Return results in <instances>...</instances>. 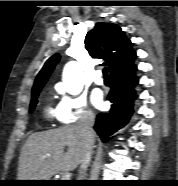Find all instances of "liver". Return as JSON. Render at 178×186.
I'll list each match as a JSON object with an SVG mask.
<instances>
[{
    "label": "liver",
    "mask_w": 178,
    "mask_h": 186,
    "mask_svg": "<svg viewBox=\"0 0 178 186\" xmlns=\"http://www.w3.org/2000/svg\"><path fill=\"white\" fill-rule=\"evenodd\" d=\"M85 152L86 140L78 124L34 133L21 149L18 180H49L60 171H72ZM46 154L50 156L42 159Z\"/></svg>",
    "instance_id": "liver-1"
}]
</instances>
